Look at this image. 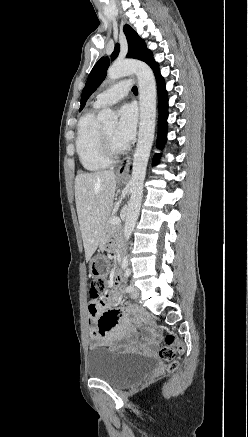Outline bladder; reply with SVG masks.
I'll list each match as a JSON object with an SVG mask.
<instances>
[{
  "mask_svg": "<svg viewBox=\"0 0 248 437\" xmlns=\"http://www.w3.org/2000/svg\"><path fill=\"white\" fill-rule=\"evenodd\" d=\"M156 367L157 361L145 354L93 350L89 354L88 375L124 387L151 375Z\"/></svg>",
  "mask_w": 248,
  "mask_h": 437,
  "instance_id": "obj_1",
  "label": "bladder"
}]
</instances>
